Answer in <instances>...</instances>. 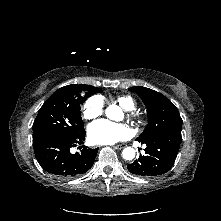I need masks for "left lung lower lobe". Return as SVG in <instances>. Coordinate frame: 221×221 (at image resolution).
I'll list each match as a JSON object with an SVG mask.
<instances>
[{"label": "left lung lower lobe", "instance_id": "0a47b994", "mask_svg": "<svg viewBox=\"0 0 221 221\" xmlns=\"http://www.w3.org/2000/svg\"><path fill=\"white\" fill-rule=\"evenodd\" d=\"M137 141L146 144L145 155H140L127 168L132 174L153 177L168 172L172 167L179 151L181 134L163 132Z\"/></svg>", "mask_w": 221, "mask_h": 221}]
</instances>
